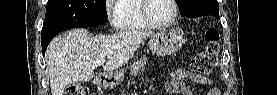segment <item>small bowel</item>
I'll use <instances>...</instances> for the list:
<instances>
[{
	"label": "small bowel",
	"instance_id": "1",
	"mask_svg": "<svg viewBox=\"0 0 277 95\" xmlns=\"http://www.w3.org/2000/svg\"><path fill=\"white\" fill-rule=\"evenodd\" d=\"M185 80L197 85H210L213 83L211 77L196 75L184 69L176 68L171 72V79L164 86L165 94L192 95L193 93L186 85ZM205 94L217 95L220 94V91L216 88H209Z\"/></svg>",
	"mask_w": 277,
	"mask_h": 95
}]
</instances>
